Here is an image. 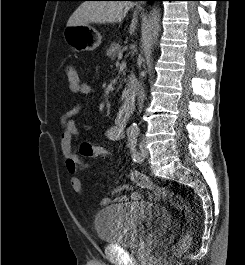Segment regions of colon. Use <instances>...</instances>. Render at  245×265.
<instances>
[{
    "mask_svg": "<svg viewBox=\"0 0 245 265\" xmlns=\"http://www.w3.org/2000/svg\"><path fill=\"white\" fill-rule=\"evenodd\" d=\"M65 73L70 89L74 92H77L81 84L78 71L73 66H67ZM80 154L83 157L91 159H102L110 156V152L107 149L89 142H83L81 144ZM128 176L138 186L152 190L153 192L157 193L163 200L168 202L173 208L185 213L189 222L192 220V212L190 210V207L180 194L171 191L167 186H158L154 184L146 175L140 172L129 170ZM191 241L192 231L191 228H188L181 240L172 247L171 252L173 254H177L185 251L190 246Z\"/></svg>",
    "mask_w": 245,
    "mask_h": 265,
    "instance_id": "obj_1",
    "label": "colon"
}]
</instances>
